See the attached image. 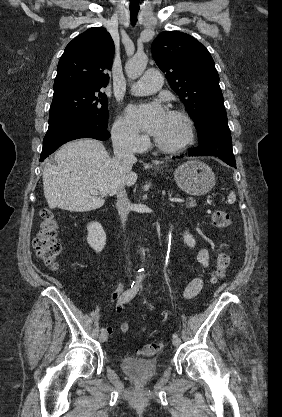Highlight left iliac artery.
Segmentation results:
<instances>
[{
  "instance_id": "obj_1",
  "label": "left iliac artery",
  "mask_w": 282,
  "mask_h": 417,
  "mask_svg": "<svg viewBox=\"0 0 282 417\" xmlns=\"http://www.w3.org/2000/svg\"><path fill=\"white\" fill-rule=\"evenodd\" d=\"M176 337H178V334L177 333H174L173 334V338H176Z\"/></svg>"
}]
</instances>
